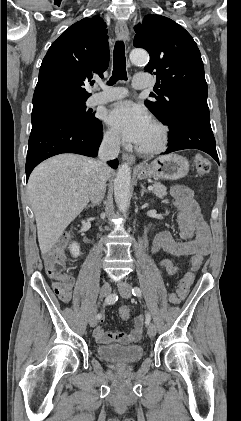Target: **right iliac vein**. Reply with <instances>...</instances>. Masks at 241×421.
<instances>
[{
    "mask_svg": "<svg viewBox=\"0 0 241 421\" xmlns=\"http://www.w3.org/2000/svg\"><path fill=\"white\" fill-rule=\"evenodd\" d=\"M111 293V286L108 282L104 283L100 289V298H104ZM89 324L91 327H95L97 324V318L95 313L91 314L89 318Z\"/></svg>",
    "mask_w": 241,
    "mask_h": 421,
    "instance_id": "1",
    "label": "right iliac vein"
}]
</instances>
